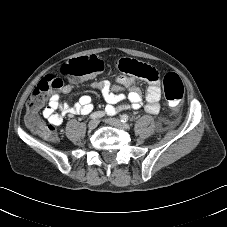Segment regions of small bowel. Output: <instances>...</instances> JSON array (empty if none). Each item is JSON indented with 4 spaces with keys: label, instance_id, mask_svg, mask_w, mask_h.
Wrapping results in <instances>:
<instances>
[{
    "label": "small bowel",
    "instance_id": "c3829d8e",
    "mask_svg": "<svg viewBox=\"0 0 227 227\" xmlns=\"http://www.w3.org/2000/svg\"><path fill=\"white\" fill-rule=\"evenodd\" d=\"M130 59H121L118 62V68L121 74L116 79V84L112 85L109 80L102 79L91 81L92 88L101 91L107 106L105 111L108 115L117 112L137 109L142 105V98L136 87V79L127 71ZM148 87L145 93V110L151 114H157L160 111L159 100L161 98L160 82L158 77L154 80H147ZM78 82L68 84L62 87V94L71 93L77 86ZM124 89H129L128 93H123ZM92 98L89 95L81 96L73 104L61 103L60 93L55 92L50 96L48 105L44 108L42 114L49 125L56 127L61 125L63 119L68 115H88L93 111Z\"/></svg>",
    "mask_w": 227,
    "mask_h": 227
}]
</instances>
